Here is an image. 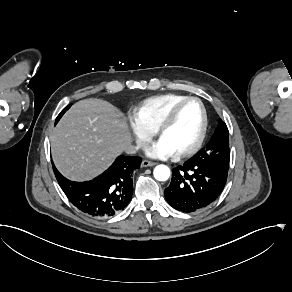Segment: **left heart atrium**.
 I'll use <instances>...</instances> for the list:
<instances>
[{"instance_id":"left-heart-atrium-1","label":"left heart atrium","mask_w":292,"mask_h":292,"mask_svg":"<svg viewBox=\"0 0 292 292\" xmlns=\"http://www.w3.org/2000/svg\"><path fill=\"white\" fill-rule=\"evenodd\" d=\"M177 150L164 139L153 143L147 150L148 154L157 158H166Z\"/></svg>"}]
</instances>
